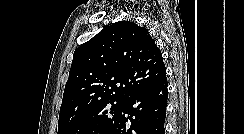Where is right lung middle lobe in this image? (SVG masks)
<instances>
[{
    "instance_id": "dd1d6c3e",
    "label": "right lung middle lobe",
    "mask_w": 244,
    "mask_h": 134,
    "mask_svg": "<svg viewBox=\"0 0 244 134\" xmlns=\"http://www.w3.org/2000/svg\"><path fill=\"white\" fill-rule=\"evenodd\" d=\"M124 101L107 100L76 116L59 120L58 134H104L120 116Z\"/></svg>"
}]
</instances>
